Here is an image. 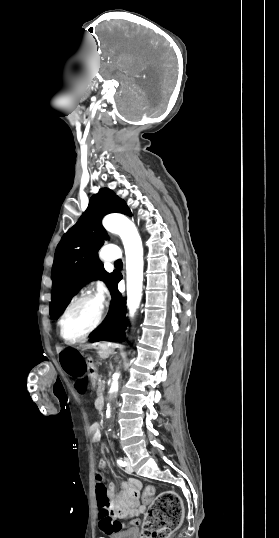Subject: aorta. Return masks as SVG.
Masks as SVG:
<instances>
[{"label":"aorta","instance_id":"762f6f07","mask_svg":"<svg viewBox=\"0 0 279 538\" xmlns=\"http://www.w3.org/2000/svg\"><path fill=\"white\" fill-rule=\"evenodd\" d=\"M102 223L107 231L118 234L123 241L126 254L127 307L130 317L133 318L142 298L143 247L141 238L135 225L123 215H108ZM119 376V372L112 376L111 394L118 391ZM109 415L110 408L108 407L107 416Z\"/></svg>","mask_w":279,"mask_h":538}]
</instances>
